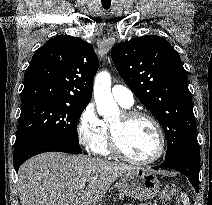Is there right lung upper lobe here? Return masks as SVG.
Segmentation results:
<instances>
[{
	"label": "right lung upper lobe",
	"instance_id": "cb5924a9",
	"mask_svg": "<svg viewBox=\"0 0 212 205\" xmlns=\"http://www.w3.org/2000/svg\"><path fill=\"white\" fill-rule=\"evenodd\" d=\"M98 59L91 44L60 35L37 49L25 71L21 101L48 99L88 104Z\"/></svg>",
	"mask_w": 212,
	"mask_h": 205
}]
</instances>
